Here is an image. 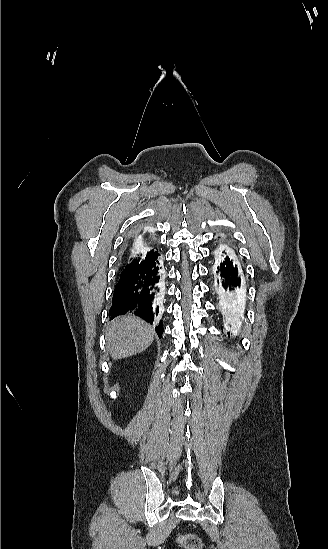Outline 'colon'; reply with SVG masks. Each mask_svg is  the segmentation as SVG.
<instances>
[{
	"mask_svg": "<svg viewBox=\"0 0 328 549\" xmlns=\"http://www.w3.org/2000/svg\"><path fill=\"white\" fill-rule=\"evenodd\" d=\"M181 546L187 549H198L200 547V540L194 534H185L179 538Z\"/></svg>",
	"mask_w": 328,
	"mask_h": 549,
	"instance_id": "5ec220e1",
	"label": "colon"
}]
</instances>
